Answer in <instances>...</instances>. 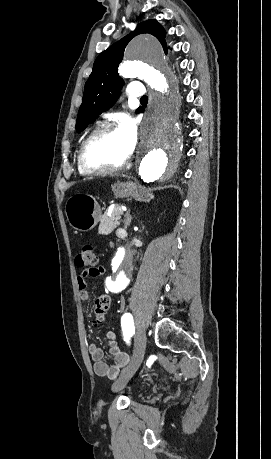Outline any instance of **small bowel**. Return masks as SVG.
I'll list each match as a JSON object with an SVG mask.
<instances>
[{
    "instance_id": "obj_1",
    "label": "small bowel",
    "mask_w": 271,
    "mask_h": 459,
    "mask_svg": "<svg viewBox=\"0 0 271 459\" xmlns=\"http://www.w3.org/2000/svg\"><path fill=\"white\" fill-rule=\"evenodd\" d=\"M103 272L104 269L100 267L90 268L85 270L78 277L77 284L79 289V298L81 301L87 302L89 300V292L87 290L89 278L99 277L103 274ZM107 339L109 353L114 358L113 363L109 364L105 361L104 350L95 343H90L88 345V352L94 362L95 374L114 380L119 376L121 370L128 364L129 357L126 353L120 350L116 334L113 331H109L107 333Z\"/></svg>"
}]
</instances>
